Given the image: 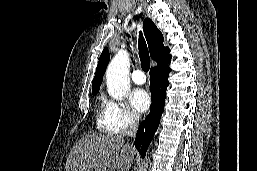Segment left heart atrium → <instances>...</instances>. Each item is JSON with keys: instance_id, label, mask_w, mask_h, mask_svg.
Instances as JSON below:
<instances>
[{"instance_id": "obj_1", "label": "left heart atrium", "mask_w": 257, "mask_h": 171, "mask_svg": "<svg viewBox=\"0 0 257 171\" xmlns=\"http://www.w3.org/2000/svg\"><path fill=\"white\" fill-rule=\"evenodd\" d=\"M129 99L131 106L138 113L145 112L150 106V96L146 91L142 89L134 90L130 94Z\"/></svg>"}]
</instances>
